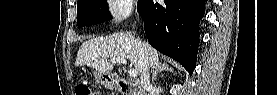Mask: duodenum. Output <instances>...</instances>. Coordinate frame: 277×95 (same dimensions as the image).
Instances as JSON below:
<instances>
[{"label": "duodenum", "instance_id": "410a0bca", "mask_svg": "<svg viewBox=\"0 0 277 95\" xmlns=\"http://www.w3.org/2000/svg\"><path fill=\"white\" fill-rule=\"evenodd\" d=\"M116 86L122 94L142 95V89L139 83H133L129 80L119 79Z\"/></svg>", "mask_w": 277, "mask_h": 95}]
</instances>
